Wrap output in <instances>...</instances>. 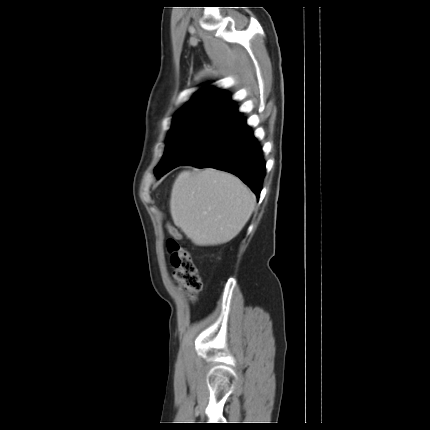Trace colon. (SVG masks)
Masks as SVG:
<instances>
[{"instance_id": "obj_1", "label": "colon", "mask_w": 430, "mask_h": 430, "mask_svg": "<svg viewBox=\"0 0 430 430\" xmlns=\"http://www.w3.org/2000/svg\"><path fill=\"white\" fill-rule=\"evenodd\" d=\"M169 232L172 237L166 241V248L173 267V279L187 292L191 300H195L202 290L201 278L190 252L179 242L181 236L178 230L169 227Z\"/></svg>"}]
</instances>
